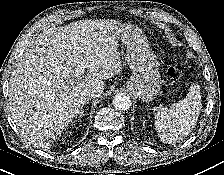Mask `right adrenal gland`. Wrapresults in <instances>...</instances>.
<instances>
[{
  "label": "right adrenal gland",
  "mask_w": 224,
  "mask_h": 175,
  "mask_svg": "<svg viewBox=\"0 0 224 175\" xmlns=\"http://www.w3.org/2000/svg\"><path fill=\"white\" fill-rule=\"evenodd\" d=\"M84 104L81 106V109L79 111V117L84 116V110H83Z\"/></svg>",
  "instance_id": "2a0ac1e0"
}]
</instances>
